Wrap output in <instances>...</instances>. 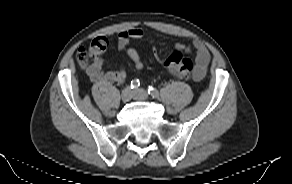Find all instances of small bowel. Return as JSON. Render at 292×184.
Here are the masks:
<instances>
[{
    "instance_id": "obj_1",
    "label": "small bowel",
    "mask_w": 292,
    "mask_h": 184,
    "mask_svg": "<svg viewBox=\"0 0 292 184\" xmlns=\"http://www.w3.org/2000/svg\"><path fill=\"white\" fill-rule=\"evenodd\" d=\"M144 36V32L140 28H131L124 30L119 33L118 35V49L123 51L126 56L130 59L136 69L140 70L143 68V62L138 54V52L134 49L129 47V43L133 39H141ZM193 48L196 52L195 61L196 66L193 71V79L198 81L201 80L207 71V67L210 61V54L206 46L200 42L195 41L193 43ZM176 50L182 52H191V47H187L181 43L176 44ZM104 61L101 57H98L94 60L91 66L87 69V75L89 76L90 80L94 83H109V82H116L122 83L126 79V70L124 66H121L118 70L109 69L107 71H103ZM168 71L173 74L177 75V72L173 68H168Z\"/></svg>"
}]
</instances>
